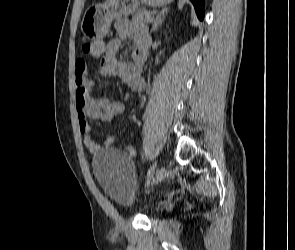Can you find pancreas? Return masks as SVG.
Here are the masks:
<instances>
[{
    "label": "pancreas",
    "instance_id": "cf45deb5",
    "mask_svg": "<svg viewBox=\"0 0 295 250\" xmlns=\"http://www.w3.org/2000/svg\"><path fill=\"white\" fill-rule=\"evenodd\" d=\"M150 16L147 11H141L133 15L131 23L133 25L143 26L146 23V18Z\"/></svg>",
    "mask_w": 295,
    "mask_h": 250
}]
</instances>
